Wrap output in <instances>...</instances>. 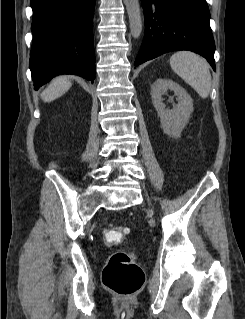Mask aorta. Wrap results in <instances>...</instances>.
Here are the masks:
<instances>
[{
    "label": "aorta",
    "instance_id": "1",
    "mask_svg": "<svg viewBox=\"0 0 245 319\" xmlns=\"http://www.w3.org/2000/svg\"><path fill=\"white\" fill-rule=\"evenodd\" d=\"M124 3L129 17L131 35L134 38H139L142 32L139 0H124Z\"/></svg>",
    "mask_w": 245,
    "mask_h": 319
}]
</instances>
